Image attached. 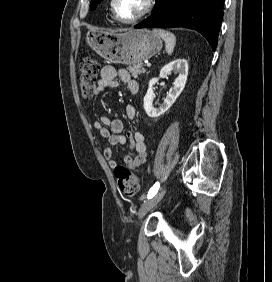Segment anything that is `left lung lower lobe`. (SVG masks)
Instances as JSON below:
<instances>
[{"instance_id": "0a47b994", "label": "left lung lower lobe", "mask_w": 272, "mask_h": 282, "mask_svg": "<svg viewBox=\"0 0 272 282\" xmlns=\"http://www.w3.org/2000/svg\"><path fill=\"white\" fill-rule=\"evenodd\" d=\"M225 0H156L154 12L135 28L187 27L217 46Z\"/></svg>"}]
</instances>
